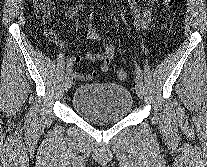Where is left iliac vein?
<instances>
[{
    "label": "left iliac vein",
    "instance_id": "1",
    "mask_svg": "<svg viewBox=\"0 0 207 167\" xmlns=\"http://www.w3.org/2000/svg\"><path fill=\"white\" fill-rule=\"evenodd\" d=\"M135 88L136 92L139 98H143L144 96V86L142 78H140L138 75L135 78Z\"/></svg>",
    "mask_w": 207,
    "mask_h": 167
}]
</instances>
